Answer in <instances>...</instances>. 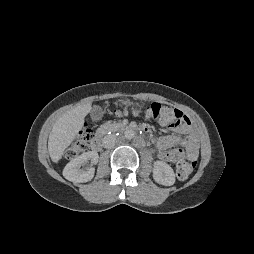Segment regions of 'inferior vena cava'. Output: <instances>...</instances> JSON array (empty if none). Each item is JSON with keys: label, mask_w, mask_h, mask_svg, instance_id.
Segmentation results:
<instances>
[{"label": "inferior vena cava", "mask_w": 254, "mask_h": 254, "mask_svg": "<svg viewBox=\"0 0 254 254\" xmlns=\"http://www.w3.org/2000/svg\"><path fill=\"white\" fill-rule=\"evenodd\" d=\"M102 143H103V147L104 148L111 149V148H113L115 146L116 137L113 136V135L106 136V137H104Z\"/></svg>", "instance_id": "obj_1"}]
</instances>
